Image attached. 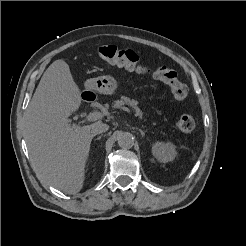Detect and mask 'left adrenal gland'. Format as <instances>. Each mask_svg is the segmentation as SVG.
I'll use <instances>...</instances> for the list:
<instances>
[{"instance_id": "obj_1", "label": "left adrenal gland", "mask_w": 246, "mask_h": 246, "mask_svg": "<svg viewBox=\"0 0 246 246\" xmlns=\"http://www.w3.org/2000/svg\"><path fill=\"white\" fill-rule=\"evenodd\" d=\"M139 131H140L142 137H144L145 136V132L143 130H141V129H139Z\"/></svg>"}]
</instances>
